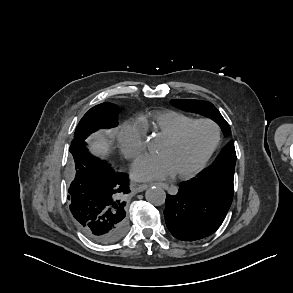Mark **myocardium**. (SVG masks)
<instances>
[{
	"mask_svg": "<svg viewBox=\"0 0 293 293\" xmlns=\"http://www.w3.org/2000/svg\"><path fill=\"white\" fill-rule=\"evenodd\" d=\"M197 124H207V125H210L211 127H213V129L215 131V137H214L213 143L211 144V146L209 147L207 152L204 154V156L201 158V160L191 170H189L187 172H183V173H176V176L180 179H190V178L194 177L196 174H198L205 167V165L208 163V161L210 160V158L212 157V155L214 154V152L218 148L220 141H221V129H220L219 125L215 121H213L211 119H206V118L195 119V120L185 124L178 131H176L174 134L165 137V140L169 143H175V142L179 141L190 128H192L193 126H195Z\"/></svg>",
	"mask_w": 293,
	"mask_h": 293,
	"instance_id": "1",
	"label": "myocardium"
}]
</instances>
